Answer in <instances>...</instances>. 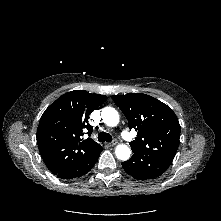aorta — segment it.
Wrapping results in <instances>:
<instances>
[{"label": "aorta", "instance_id": "obj_1", "mask_svg": "<svg viewBox=\"0 0 221 221\" xmlns=\"http://www.w3.org/2000/svg\"><path fill=\"white\" fill-rule=\"evenodd\" d=\"M102 120L109 127H115L119 123V114L116 109L112 107H105L102 109ZM116 157L119 160L126 161L130 158L131 150L125 144H120L115 149Z\"/></svg>", "mask_w": 221, "mask_h": 221}]
</instances>
